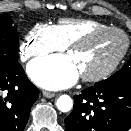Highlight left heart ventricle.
Masks as SVG:
<instances>
[{
  "mask_svg": "<svg viewBox=\"0 0 131 131\" xmlns=\"http://www.w3.org/2000/svg\"><path fill=\"white\" fill-rule=\"evenodd\" d=\"M125 39L118 33H104L83 47L73 49L71 57L80 74H94L108 66L121 52Z\"/></svg>",
  "mask_w": 131,
  "mask_h": 131,
  "instance_id": "1",
  "label": "left heart ventricle"
}]
</instances>
